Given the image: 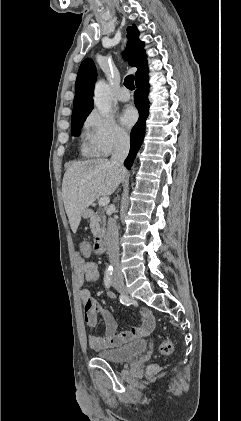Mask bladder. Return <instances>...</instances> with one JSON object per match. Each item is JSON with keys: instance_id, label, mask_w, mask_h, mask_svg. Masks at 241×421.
<instances>
[{"instance_id": "bladder-1", "label": "bladder", "mask_w": 241, "mask_h": 421, "mask_svg": "<svg viewBox=\"0 0 241 421\" xmlns=\"http://www.w3.org/2000/svg\"><path fill=\"white\" fill-rule=\"evenodd\" d=\"M146 349L147 342L145 340H137L118 348L101 351L97 356L107 362L119 364L133 360L144 353Z\"/></svg>"}]
</instances>
